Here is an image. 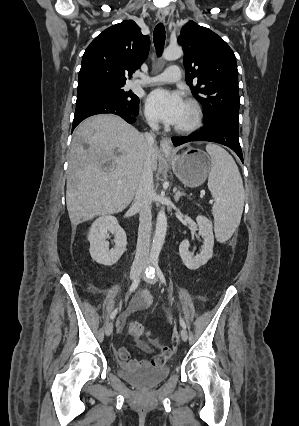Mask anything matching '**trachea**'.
Returning a JSON list of instances; mask_svg holds the SVG:
<instances>
[{
    "label": "trachea",
    "mask_w": 299,
    "mask_h": 426,
    "mask_svg": "<svg viewBox=\"0 0 299 426\" xmlns=\"http://www.w3.org/2000/svg\"><path fill=\"white\" fill-rule=\"evenodd\" d=\"M153 41L158 54L163 50L165 44V27L162 23H159L153 33Z\"/></svg>",
    "instance_id": "trachea-1"
}]
</instances>
